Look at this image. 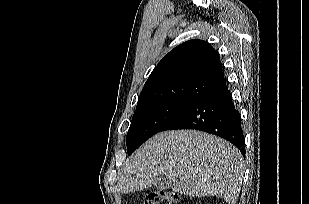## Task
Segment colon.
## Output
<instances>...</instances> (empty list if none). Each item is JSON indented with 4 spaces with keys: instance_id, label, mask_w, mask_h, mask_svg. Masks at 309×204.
I'll return each mask as SVG.
<instances>
[{
    "instance_id": "1",
    "label": "colon",
    "mask_w": 309,
    "mask_h": 204,
    "mask_svg": "<svg viewBox=\"0 0 309 204\" xmlns=\"http://www.w3.org/2000/svg\"><path fill=\"white\" fill-rule=\"evenodd\" d=\"M178 197L175 193L159 190L152 192L144 204H176Z\"/></svg>"
}]
</instances>
